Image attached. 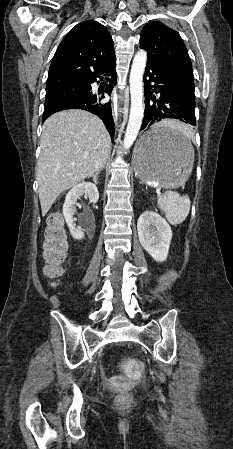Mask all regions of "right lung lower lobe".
Here are the masks:
<instances>
[{"instance_id": "1", "label": "right lung lower lobe", "mask_w": 233, "mask_h": 449, "mask_svg": "<svg viewBox=\"0 0 233 449\" xmlns=\"http://www.w3.org/2000/svg\"><path fill=\"white\" fill-rule=\"evenodd\" d=\"M115 64L113 63L105 72L108 73L109 75H111V78L109 80V84L106 86L105 88V92L107 94H111L112 89L116 83V71H115ZM99 78H102L101 76H99ZM97 81L96 78L92 81H90L89 83H87L86 85L89 88V92L86 96L79 98V99H75V100H71V101H67L61 104H58L54 107H51L49 109H44V113H43V119L42 122H44L50 115L61 111V110H66V109H83V110H87L91 113L96 114L98 117H100L102 119V121L104 122L107 130L109 131L112 140H113V135H114V120L112 118V113H111V102H107V103H103L101 102V100L103 98H105L103 96L104 92L102 93V95L100 93L98 94H94L91 91V84L93 82Z\"/></svg>"}]
</instances>
